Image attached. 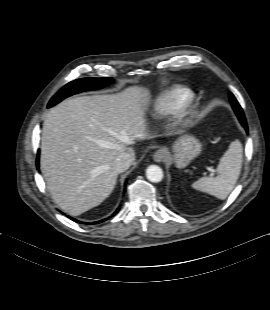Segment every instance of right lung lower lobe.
<instances>
[{
    "label": "right lung lower lobe",
    "mask_w": 270,
    "mask_h": 310,
    "mask_svg": "<svg viewBox=\"0 0 270 310\" xmlns=\"http://www.w3.org/2000/svg\"><path fill=\"white\" fill-rule=\"evenodd\" d=\"M39 159H37V166L39 165V161H38ZM118 210L119 209H117V211H115V213L114 214H116L117 212H118ZM70 219H72L73 221H75V222H80V221H78V220H76V219H73V218H71V217H69ZM105 220H107V218L106 219H103V220H100V221H97V222H94L95 224L96 223H100V222H103V221H105Z\"/></svg>",
    "instance_id": "right-lung-lower-lobe-1"
}]
</instances>
